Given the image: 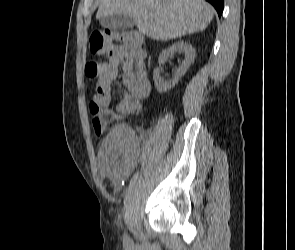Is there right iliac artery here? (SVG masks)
I'll list each match as a JSON object with an SVG mask.
<instances>
[{"instance_id":"obj_1","label":"right iliac artery","mask_w":295,"mask_h":250,"mask_svg":"<svg viewBox=\"0 0 295 250\" xmlns=\"http://www.w3.org/2000/svg\"><path fill=\"white\" fill-rule=\"evenodd\" d=\"M124 240H125V241H127V240H128V237H127L126 235L124 236Z\"/></svg>"}]
</instances>
